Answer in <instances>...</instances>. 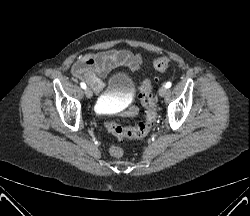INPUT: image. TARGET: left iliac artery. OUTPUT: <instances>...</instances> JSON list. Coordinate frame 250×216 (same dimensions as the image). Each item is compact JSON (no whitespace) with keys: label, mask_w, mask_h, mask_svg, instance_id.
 <instances>
[{"label":"left iliac artery","mask_w":250,"mask_h":216,"mask_svg":"<svg viewBox=\"0 0 250 216\" xmlns=\"http://www.w3.org/2000/svg\"><path fill=\"white\" fill-rule=\"evenodd\" d=\"M171 85H172V83H171V82H167V83L165 84V87H166V88H170V87H171Z\"/></svg>","instance_id":"44dca946"}]
</instances>
